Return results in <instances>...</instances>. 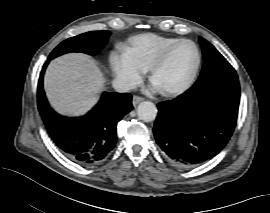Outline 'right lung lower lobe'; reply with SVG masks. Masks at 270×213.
<instances>
[{"mask_svg": "<svg viewBox=\"0 0 270 213\" xmlns=\"http://www.w3.org/2000/svg\"><path fill=\"white\" fill-rule=\"evenodd\" d=\"M42 68L38 89V109L53 142L71 160L91 165L102 161L114 148L116 125L133 109L129 93H103L97 105L84 116L65 117L50 108L43 90Z\"/></svg>", "mask_w": 270, "mask_h": 213, "instance_id": "1", "label": "right lung lower lobe"}]
</instances>
